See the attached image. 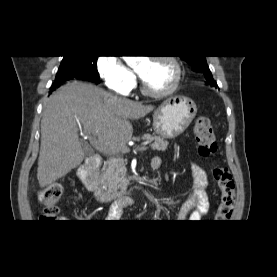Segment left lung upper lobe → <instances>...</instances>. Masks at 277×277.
<instances>
[{
  "label": "left lung upper lobe",
  "instance_id": "left-lung-upper-lobe-1",
  "mask_svg": "<svg viewBox=\"0 0 277 277\" xmlns=\"http://www.w3.org/2000/svg\"><path fill=\"white\" fill-rule=\"evenodd\" d=\"M187 61L195 71L204 75L205 79L211 86H217L216 81L212 77V73L206 62L205 56H180Z\"/></svg>",
  "mask_w": 277,
  "mask_h": 277
}]
</instances>
